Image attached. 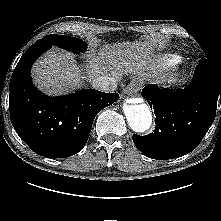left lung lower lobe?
Segmentation results:
<instances>
[{
  "label": "left lung lower lobe",
  "mask_w": 221,
  "mask_h": 221,
  "mask_svg": "<svg viewBox=\"0 0 221 221\" xmlns=\"http://www.w3.org/2000/svg\"><path fill=\"white\" fill-rule=\"evenodd\" d=\"M155 112V130L133 135L135 146L147 157L166 160L194 150L207 133L221 103V69L198 65L189 86L172 90L154 84L142 90Z\"/></svg>",
  "instance_id": "1"
}]
</instances>
